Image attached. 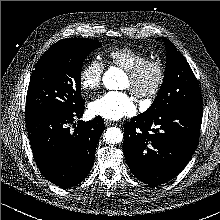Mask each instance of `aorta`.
I'll use <instances>...</instances> for the list:
<instances>
[{
  "mask_svg": "<svg viewBox=\"0 0 220 220\" xmlns=\"http://www.w3.org/2000/svg\"><path fill=\"white\" fill-rule=\"evenodd\" d=\"M124 73L117 69L111 68L103 75V83L109 90L118 89V83L123 78ZM105 139L109 144H118L123 139V133L119 128L111 127L106 130Z\"/></svg>",
  "mask_w": 220,
  "mask_h": 220,
  "instance_id": "obj_1",
  "label": "aorta"
}]
</instances>
